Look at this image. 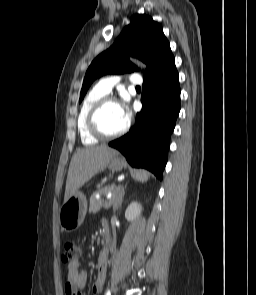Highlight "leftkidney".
Segmentation results:
<instances>
[{
	"mask_svg": "<svg viewBox=\"0 0 256 295\" xmlns=\"http://www.w3.org/2000/svg\"><path fill=\"white\" fill-rule=\"evenodd\" d=\"M142 206L138 202H132L125 211V218L128 221H134L140 215Z\"/></svg>",
	"mask_w": 256,
	"mask_h": 295,
	"instance_id": "1",
	"label": "left kidney"
}]
</instances>
